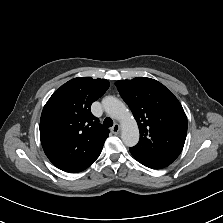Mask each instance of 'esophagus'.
<instances>
[{
    "instance_id": "1",
    "label": "esophagus",
    "mask_w": 223,
    "mask_h": 223,
    "mask_svg": "<svg viewBox=\"0 0 223 223\" xmlns=\"http://www.w3.org/2000/svg\"><path fill=\"white\" fill-rule=\"evenodd\" d=\"M119 131H120V125L118 123H115L111 128V132L116 135L119 133Z\"/></svg>"
}]
</instances>
